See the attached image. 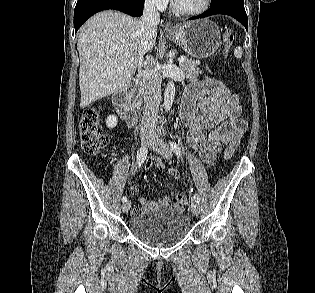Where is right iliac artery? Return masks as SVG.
Segmentation results:
<instances>
[{
  "label": "right iliac artery",
  "mask_w": 315,
  "mask_h": 293,
  "mask_svg": "<svg viewBox=\"0 0 315 293\" xmlns=\"http://www.w3.org/2000/svg\"><path fill=\"white\" fill-rule=\"evenodd\" d=\"M146 157H147V148L145 146H143L137 152V166L138 167H140L142 165V163L144 162ZM126 201H127V197L123 196L122 202L124 203Z\"/></svg>",
  "instance_id": "obj_1"
}]
</instances>
